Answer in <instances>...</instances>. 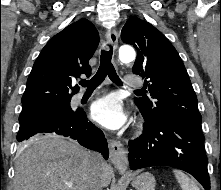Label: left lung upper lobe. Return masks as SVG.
<instances>
[{
  "mask_svg": "<svg viewBox=\"0 0 221 190\" xmlns=\"http://www.w3.org/2000/svg\"><path fill=\"white\" fill-rule=\"evenodd\" d=\"M124 43L133 45L137 58L133 73L145 78L152 99L135 98L147 118H175L200 131L197 97L184 64L174 46L153 25L130 17L121 31Z\"/></svg>",
  "mask_w": 221,
  "mask_h": 190,
  "instance_id": "left-lung-upper-lobe-1",
  "label": "left lung upper lobe"
}]
</instances>
